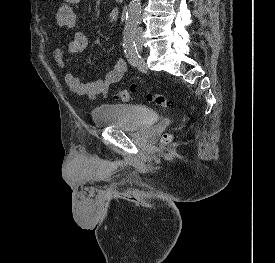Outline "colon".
Wrapping results in <instances>:
<instances>
[{
    "label": "colon",
    "instance_id": "1",
    "mask_svg": "<svg viewBox=\"0 0 275 263\" xmlns=\"http://www.w3.org/2000/svg\"><path fill=\"white\" fill-rule=\"evenodd\" d=\"M115 98L120 101L130 102L135 99V90L134 89H123L115 93ZM147 99L152 103L160 107H167L171 104V101L162 94H153L149 93ZM170 137L168 135L164 136V141L168 142Z\"/></svg>",
    "mask_w": 275,
    "mask_h": 263
}]
</instances>
